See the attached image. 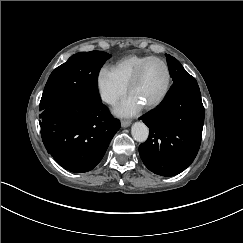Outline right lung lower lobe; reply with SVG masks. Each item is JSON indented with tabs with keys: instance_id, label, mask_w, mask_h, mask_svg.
Masks as SVG:
<instances>
[{
	"instance_id": "1",
	"label": "right lung lower lobe",
	"mask_w": 243,
	"mask_h": 243,
	"mask_svg": "<svg viewBox=\"0 0 243 243\" xmlns=\"http://www.w3.org/2000/svg\"><path fill=\"white\" fill-rule=\"evenodd\" d=\"M41 136L48 153L66 170H92L120 128L101 99L69 96L39 115Z\"/></svg>"
}]
</instances>
